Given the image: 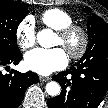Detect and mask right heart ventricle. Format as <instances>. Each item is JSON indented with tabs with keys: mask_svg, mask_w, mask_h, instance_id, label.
Instances as JSON below:
<instances>
[{
	"mask_svg": "<svg viewBox=\"0 0 108 108\" xmlns=\"http://www.w3.org/2000/svg\"><path fill=\"white\" fill-rule=\"evenodd\" d=\"M41 21L54 30H61L73 24V17L66 11L59 8H52L43 12Z\"/></svg>",
	"mask_w": 108,
	"mask_h": 108,
	"instance_id": "obj_1",
	"label": "right heart ventricle"
}]
</instances>
